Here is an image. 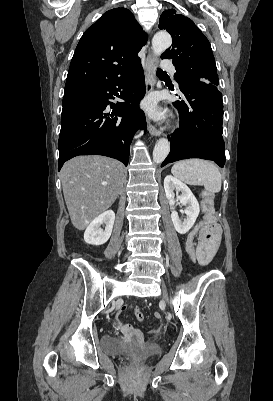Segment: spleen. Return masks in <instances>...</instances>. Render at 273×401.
Wrapping results in <instances>:
<instances>
[{
    "mask_svg": "<svg viewBox=\"0 0 273 401\" xmlns=\"http://www.w3.org/2000/svg\"><path fill=\"white\" fill-rule=\"evenodd\" d=\"M172 174L187 184H203L208 192L221 190V174L218 166L210 160L188 158L178 160L171 168Z\"/></svg>",
    "mask_w": 273,
    "mask_h": 401,
    "instance_id": "3e777b00",
    "label": "spleen"
}]
</instances>
